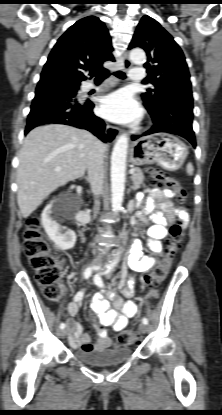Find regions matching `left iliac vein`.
I'll return each instance as SVG.
<instances>
[{"mask_svg":"<svg viewBox=\"0 0 222 415\" xmlns=\"http://www.w3.org/2000/svg\"><path fill=\"white\" fill-rule=\"evenodd\" d=\"M139 330H140V332H141V333H146V332H147V330H148V327H147V325H146V324L141 323V324L139 325Z\"/></svg>","mask_w":222,"mask_h":415,"instance_id":"obj_1","label":"left iliac vein"}]
</instances>
